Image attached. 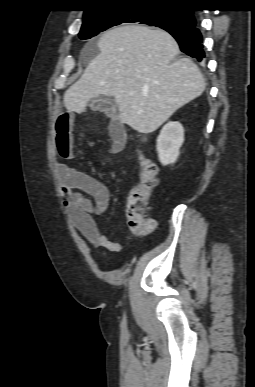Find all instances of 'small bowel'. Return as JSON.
<instances>
[{"instance_id":"1","label":"small bowel","mask_w":255,"mask_h":387,"mask_svg":"<svg viewBox=\"0 0 255 387\" xmlns=\"http://www.w3.org/2000/svg\"><path fill=\"white\" fill-rule=\"evenodd\" d=\"M73 113L61 114L56 122V148L62 159H69L73 151ZM110 152L123 150L127 136L121 122L114 120L109 125ZM62 204L68 218L79 232L93 244L112 252H120L122 246L109 240L100 230L96 217H103L109 205L110 192L96 178L78 171L65 162L57 163Z\"/></svg>"}]
</instances>
